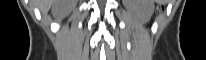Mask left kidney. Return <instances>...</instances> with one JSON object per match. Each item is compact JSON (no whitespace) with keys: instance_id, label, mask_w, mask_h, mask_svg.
Segmentation results:
<instances>
[{"instance_id":"obj_1","label":"left kidney","mask_w":206,"mask_h":60,"mask_svg":"<svg viewBox=\"0 0 206 60\" xmlns=\"http://www.w3.org/2000/svg\"><path fill=\"white\" fill-rule=\"evenodd\" d=\"M125 4L141 22L149 21L153 13L152 0H125Z\"/></svg>"}]
</instances>
